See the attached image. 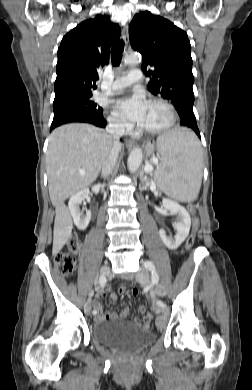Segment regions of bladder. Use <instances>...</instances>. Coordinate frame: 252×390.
I'll return each instance as SVG.
<instances>
[{
    "label": "bladder",
    "instance_id": "1",
    "mask_svg": "<svg viewBox=\"0 0 252 390\" xmlns=\"http://www.w3.org/2000/svg\"><path fill=\"white\" fill-rule=\"evenodd\" d=\"M92 338L103 346L134 354L151 344L155 335L133 323L106 320L94 323Z\"/></svg>",
    "mask_w": 252,
    "mask_h": 390
}]
</instances>
